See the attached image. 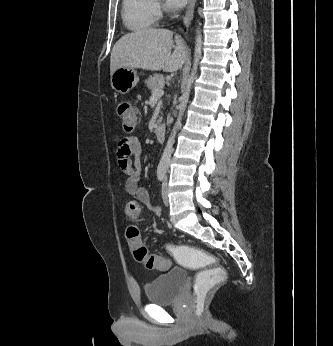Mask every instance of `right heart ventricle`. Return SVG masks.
<instances>
[{
  "label": "right heart ventricle",
  "instance_id": "1",
  "mask_svg": "<svg viewBox=\"0 0 333 346\" xmlns=\"http://www.w3.org/2000/svg\"><path fill=\"white\" fill-rule=\"evenodd\" d=\"M122 18L129 30L150 29L156 20L152 9V0H123Z\"/></svg>",
  "mask_w": 333,
  "mask_h": 346
}]
</instances>
